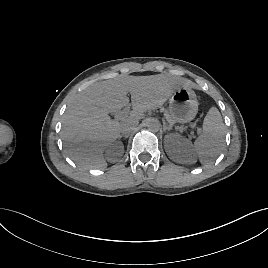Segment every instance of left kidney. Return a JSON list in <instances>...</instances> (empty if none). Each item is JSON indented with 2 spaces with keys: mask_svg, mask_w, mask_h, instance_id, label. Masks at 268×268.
<instances>
[{
  "mask_svg": "<svg viewBox=\"0 0 268 268\" xmlns=\"http://www.w3.org/2000/svg\"><path fill=\"white\" fill-rule=\"evenodd\" d=\"M164 148L169 157L175 162L182 164H193L196 162L192 143L180 135H167Z\"/></svg>",
  "mask_w": 268,
  "mask_h": 268,
  "instance_id": "1",
  "label": "left kidney"
}]
</instances>
